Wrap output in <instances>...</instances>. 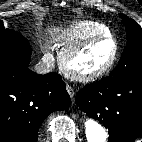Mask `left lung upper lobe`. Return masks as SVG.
<instances>
[{
    "mask_svg": "<svg viewBox=\"0 0 142 142\" xmlns=\"http://www.w3.org/2000/svg\"><path fill=\"white\" fill-rule=\"evenodd\" d=\"M119 15L126 27L127 44L118 66L113 69L109 76L142 72V28L133 19L122 14Z\"/></svg>",
    "mask_w": 142,
    "mask_h": 142,
    "instance_id": "left-lung-upper-lobe-1",
    "label": "left lung upper lobe"
}]
</instances>
